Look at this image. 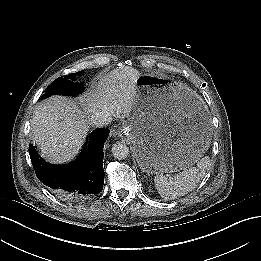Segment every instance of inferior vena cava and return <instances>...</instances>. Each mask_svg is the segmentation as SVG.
I'll use <instances>...</instances> for the list:
<instances>
[{"instance_id": "602c4592", "label": "inferior vena cava", "mask_w": 261, "mask_h": 261, "mask_svg": "<svg viewBox=\"0 0 261 261\" xmlns=\"http://www.w3.org/2000/svg\"><path fill=\"white\" fill-rule=\"evenodd\" d=\"M91 122L96 127L107 126L111 122V115L107 111H96L91 115Z\"/></svg>"}]
</instances>
